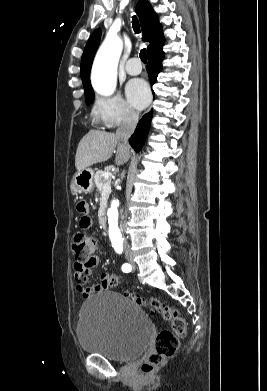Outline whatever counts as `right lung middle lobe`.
<instances>
[{
  "instance_id": "right-lung-middle-lobe-1",
  "label": "right lung middle lobe",
  "mask_w": 267,
  "mask_h": 391,
  "mask_svg": "<svg viewBox=\"0 0 267 391\" xmlns=\"http://www.w3.org/2000/svg\"><path fill=\"white\" fill-rule=\"evenodd\" d=\"M85 100H86V104H90L93 102L94 100V92L93 91H88L85 93Z\"/></svg>"
}]
</instances>
